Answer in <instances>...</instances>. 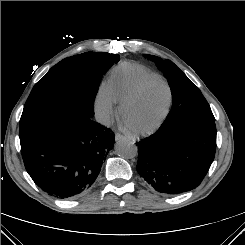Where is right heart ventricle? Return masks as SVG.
Returning <instances> with one entry per match:
<instances>
[{
    "instance_id": "right-heart-ventricle-1",
    "label": "right heart ventricle",
    "mask_w": 245,
    "mask_h": 245,
    "mask_svg": "<svg viewBox=\"0 0 245 245\" xmlns=\"http://www.w3.org/2000/svg\"><path fill=\"white\" fill-rule=\"evenodd\" d=\"M153 76L157 74L143 65L124 63L112 70L108 86L115 101L121 103L142 81Z\"/></svg>"
}]
</instances>
